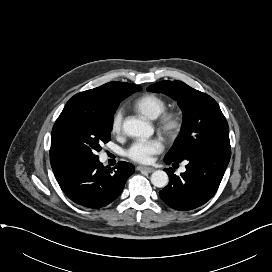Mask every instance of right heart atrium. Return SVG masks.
<instances>
[{
  "label": "right heart atrium",
  "instance_id": "d8ad5b80",
  "mask_svg": "<svg viewBox=\"0 0 272 272\" xmlns=\"http://www.w3.org/2000/svg\"><path fill=\"white\" fill-rule=\"evenodd\" d=\"M123 111L119 109L113 116L111 130L113 134H119L122 130Z\"/></svg>",
  "mask_w": 272,
  "mask_h": 272
}]
</instances>
